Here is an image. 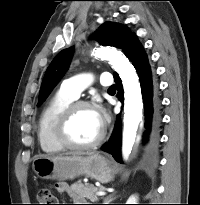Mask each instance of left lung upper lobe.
Listing matches in <instances>:
<instances>
[{"label": "left lung upper lobe", "mask_w": 200, "mask_h": 205, "mask_svg": "<svg viewBox=\"0 0 200 205\" xmlns=\"http://www.w3.org/2000/svg\"><path fill=\"white\" fill-rule=\"evenodd\" d=\"M134 35L135 34L131 33L124 25L105 22L99 27L94 36L102 45L114 46L125 51L129 41ZM72 51V48L62 50L49 65L41 84L38 105L44 102L65 74L72 57Z\"/></svg>", "instance_id": "5c2ea615"}]
</instances>
